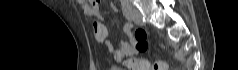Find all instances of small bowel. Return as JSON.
<instances>
[{
	"mask_svg": "<svg viewBox=\"0 0 238 70\" xmlns=\"http://www.w3.org/2000/svg\"><path fill=\"white\" fill-rule=\"evenodd\" d=\"M78 3L81 6V9L86 16H89L92 18H98V19L101 18L99 9L95 2L90 4L86 0H78ZM93 30H94L96 39L99 42H104L108 46L109 51L114 56H115V54H118L116 52L118 49L121 51L119 54H124L125 57L132 56L138 52V49L136 48V39L134 38V36L132 34V25L128 24L124 27L125 33L131 37V40L129 42H126V41L120 42L118 49L113 48V46L109 43V41L106 40L107 29L103 24L94 23ZM121 60L122 59H116L117 62H120Z\"/></svg>",
	"mask_w": 238,
	"mask_h": 70,
	"instance_id": "1",
	"label": "small bowel"
}]
</instances>
